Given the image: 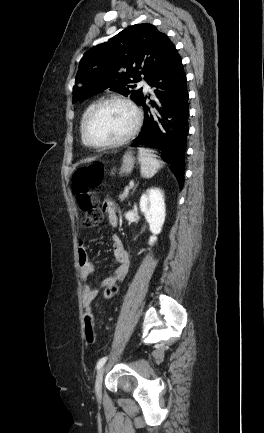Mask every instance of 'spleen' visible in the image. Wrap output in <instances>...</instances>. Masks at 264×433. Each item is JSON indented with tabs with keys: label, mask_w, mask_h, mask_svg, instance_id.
Here are the masks:
<instances>
[{
	"label": "spleen",
	"mask_w": 264,
	"mask_h": 433,
	"mask_svg": "<svg viewBox=\"0 0 264 433\" xmlns=\"http://www.w3.org/2000/svg\"><path fill=\"white\" fill-rule=\"evenodd\" d=\"M139 161L141 164L140 172L144 178H152L159 169L163 167L161 161L156 158V155L150 149L139 148Z\"/></svg>",
	"instance_id": "obj_1"
}]
</instances>
